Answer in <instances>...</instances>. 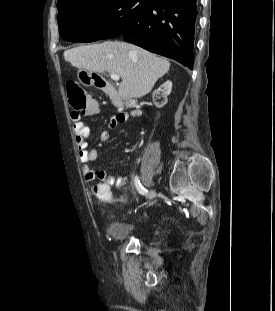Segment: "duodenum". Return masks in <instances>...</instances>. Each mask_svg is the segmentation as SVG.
I'll return each instance as SVG.
<instances>
[{"mask_svg":"<svg viewBox=\"0 0 275 311\" xmlns=\"http://www.w3.org/2000/svg\"><path fill=\"white\" fill-rule=\"evenodd\" d=\"M89 74L90 80L92 81L93 84H95L96 88H98L103 93L108 95L114 103L116 104L123 103V100L120 98L117 89L109 81L105 80L104 77H101L100 74H97L96 70H90Z\"/></svg>","mask_w":275,"mask_h":311,"instance_id":"410a0bca","label":"duodenum"}]
</instances>
